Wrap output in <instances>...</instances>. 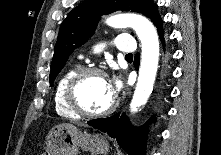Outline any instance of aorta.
<instances>
[{"label": "aorta", "mask_w": 221, "mask_h": 155, "mask_svg": "<svg viewBox=\"0 0 221 155\" xmlns=\"http://www.w3.org/2000/svg\"><path fill=\"white\" fill-rule=\"evenodd\" d=\"M106 23L114 28H133L141 41L139 76L130 104V111L137 112L141 106L146 104L154 86L159 61L157 31L146 17L134 13L113 16Z\"/></svg>", "instance_id": "obj_1"}]
</instances>
